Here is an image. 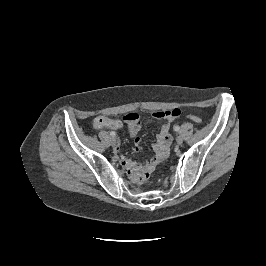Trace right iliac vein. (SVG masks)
Here are the masks:
<instances>
[{"label":"right iliac vein","mask_w":266,"mask_h":266,"mask_svg":"<svg viewBox=\"0 0 266 266\" xmlns=\"http://www.w3.org/2000/svg\"><path fill=\"white\" fill-rule=\"evenodd\" d=\"M111 144H112L113 146H115V145L117 144V139H116V138H112V139H111Z\"/></svg>","instance_id":"right-iliac-vein-1"}]
</instances>
